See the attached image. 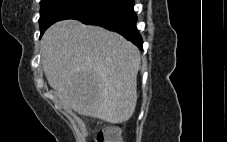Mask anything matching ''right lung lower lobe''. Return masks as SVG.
Returning a JSON list of instances; mask_svg holds the SVG:
<instances>
[{
	"mask_svg": "<svg viewBox=\"0 0 227 142\" xmlns=\"http://www.w3.org/2000/svg\"><path fill=\"white\" fill-rule=\"evenodd\" d=\"M133 6V0H112L108 5L100 9L90 11L73 19L115 31L142 49L143 41L136 28L137 18Z\"/></svg>",
	"mask_w": 227,
	"mask_h": 142,
	"instance_id": "98d812e1",
	"label": "right lung lower lobe"
}]
</instances>
